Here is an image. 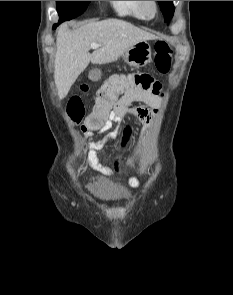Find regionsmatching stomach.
Instances as JSON below:
<instances>
[{"label": "stomach", "mask_w": 233, "mask_h": 295, "mask_svg": "<svg viewBox=\"0 0 233 295\" xmlns=\"http://www.w3.org/2000/svg\"><path fill=\"white\" fill-rule=\"evenodd\" d=\"M124 62L132 67H144L151 61V46L147 41H140L133 44L122 55ZM89 78L97 81L100 78V71L95 69L89 73Z\"/></svg>", "instance_id": "0dacf381"}]
</instances>
